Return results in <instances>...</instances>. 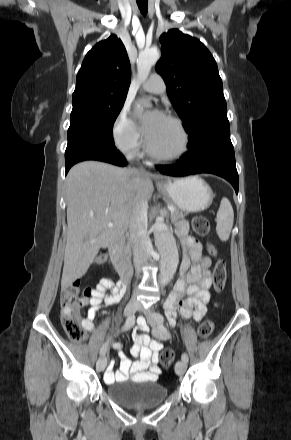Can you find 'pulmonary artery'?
Listing matches in <instances>:
<instances>
[{"mask_svg": "<svg viewBox=\"0 0 291 440\" xmlns=\"http://www.w3.org/2000/svg\"><path fill=\"white\" fill-rule=\"evenodd\" d=\"M143 88L147 92L161 94L165 91V81L159 74H152L144 83Z\"/></svg>", "mask_w": 291, "mask_h": 440, "instance_id": "e3ab8cb5", "label": "pulmonary artery"}]
</instances>
